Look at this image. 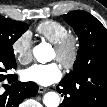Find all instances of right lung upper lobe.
Returning <instances> with one entry per match:
<instances>
[{
	"label": "right lung upper lobe",
	"instance_id": "right-lung-upper-lobe-1",
	"mask_svg": "<svg viewBox=\"0 0 107 107\" xmlns=\"http://www.w3.org/2000/svg\"><path fill=\"white\" fill-rule=\"evenodd\" d=\"M4 33V25L3 22L0 19V36Z\"/></svg>",
	"mask_w": 107,
	"mask_h": 107
}]
</instances>
